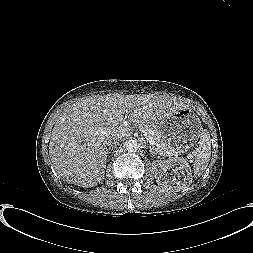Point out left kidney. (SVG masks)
<instances>
[{
    "instance_id": "5707ae66",
    "label": "left kidney",
    "mask_w": 253,
    "mask_h": 253,
    "mask_svg": "<svg viewBox=\"0 0 253 253\" xmlns=\"http://www.w3.org/2000/svg\"><path fill=\"white\" fill-rule=\"evenodd\" d=\"M153 168L155 171L156 181L162 186L169 189L182 190L188 188L192 183V171L189 163L184 158H174L168 160H156L153 163ZM173 168L174 177L168 179L167 170ZM177 176V178H176Z\"/></svg>"
}]
</instances>
